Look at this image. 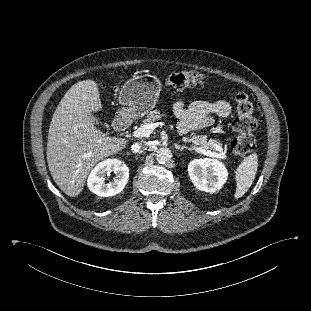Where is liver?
Returning a JSON list of instances; mask_svg holds the SVG:
<instances>
[{
  "label": "liver",
  "instance_id": "1",
  "mask_svg": "<svg viewBox=\"0 0 311 311\" xmlns=\"http://www.w3.org/2000/svg\"><path fill=\"white\" fill-rule=\"evenodd\" d=\"M102 108L98 84L83 80L65 93L53 114L47 163L57 186L70 197L82 192L88 174L100 160L127 145V140L109 137L95 127L92 112Z\"/></svg>",
  "mask_w": 311,
  "mask_h": 311
}]
</instances>
